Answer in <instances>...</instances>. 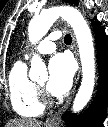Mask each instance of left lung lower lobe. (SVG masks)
I'll return each mask as SVG.
<instances>
[{
    "label": "left lung lower lobe",
    "mask_w": 108,
    "mask_h": 127,
    "mask_svg": "<svg viewBox=\"0 0 108 127\" xmlns=\"http://www.w3.org/2000/svg\"><path fill=\"white\" fill-rule=\"evenodd\" d=\"M96 38L99 80L95 99L80 116L65 113L63 119L69 127H102L108 106V39L97 21L93 22Z\"/></svg>",
    "instance_id": "0a47b994"
}]
</instances>
